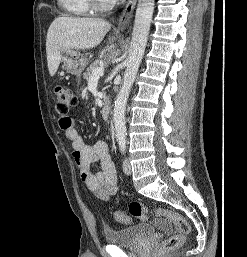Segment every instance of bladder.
Instances as JSON below:
<instances>
[{
	"label": "bladder",
	"mask_w": 247,
	"mask_h": 257,
	"mask_svg": "<svg viewBox=\"0 0 247 257\" xmlns=\"http://www.w3.org/2000/svg\"><path fill=\"white\" fill-rule=\"evenodd\" d=\"M153 233L154 228L152 225L139 223L123 229L105 228L104 238L110 244L127 247L140 243Z\"/></svg>",
	"instance_id": "bladder-1"
}]
</instances>
